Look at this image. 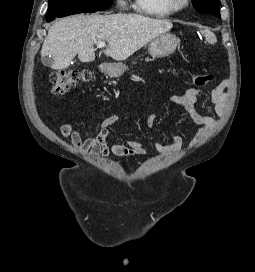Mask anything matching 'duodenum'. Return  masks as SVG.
<instances>
[{
  "mask_svg": "<svg viewBox=\"0 0 255 272\" xmlns=\"http://www.w3.org/2000/svg\"><path fill=\"white\" fill-rule=\"evenodd\" d=\"M107 69H108L107 65L103 64L102 67H101L102 72L105 73L107 71Z\"/></svg>",
  "mask_w": 255,
  "mask_h": 272,
  "instance_id": "duodenum-1",
  "label": "duodenum"
}]
</instances>
